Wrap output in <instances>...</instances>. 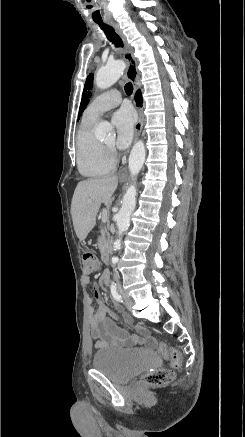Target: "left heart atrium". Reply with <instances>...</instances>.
Listing matches in <instances>:
<instances>
[{
  "mask_svg": "<svg viewBox=\"0 0 245 437\" xmlns=\"http://www.w3.org/2000/svg\"><path fill=\"white\" fill-rule=\"evenodd\" d=\"M116 129L115 145L118 149H126L133 138L136 116L130 107H123L116 111L112 117Z\"/></svg>",
  "mask_w": 245,
  "mask_h": 437,
  "instance_id": "1",
  "label": "left heart atrium"
}]
</instances>
